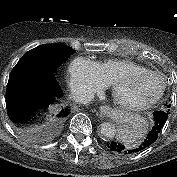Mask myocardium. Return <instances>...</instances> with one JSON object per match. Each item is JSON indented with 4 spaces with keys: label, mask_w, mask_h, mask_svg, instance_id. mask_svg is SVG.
<instances>
[{
    "label": "myocardium",
    "mask_w": 177,
    "mask_h": 177,
    "mask_svg": "<svg viewBox=\"0 0 177 177\" xmlns=\"http://www.w3.org/2000/svg\"><path fill=\"white\" fill-rule=\"evenodd\" d=\"M153 76L156 77L160 80L161 83V87L159 92L157 93L156 96H154L152 99L142 102V103H138V104H130V103H124L121 100H119L118 96H117V91L119 86L126 81L127 79L130 78H136L139 76ZM166 89V83L165 80L163 78V76L155 71H151V70H142V71H133V72H128V73H124L118 77H116L114 79V81L111 83V96L114 100V102L121 108L127 111H133V112H138V111H143L146 110L150 107H152L153 105H155L164 95Z\"/></svg>",
    "instance_id": "obj_1"
}]
</instances>
